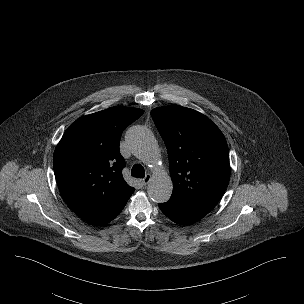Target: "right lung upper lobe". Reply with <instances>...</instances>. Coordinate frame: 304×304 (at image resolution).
Here are the masks:
<instances>
[{"label": "right lung upper lobe", "instance_id": "cb5924a9", "mask_svg": "<svg viewBox=\"0 0 304 304\" xmlns=\"http://www.w3.org/2000/svg\"><path fill=\"white\" fill-rule=\"evenodd\" d=\"M143 110L112 107L79 118L57 145L53 166L59 191L82 219L100 224L134 192L122 176L125 161L119 151L123 130Z\"/></svg>", "mask_w": 304, "mask_h": 304}]
</instances>
